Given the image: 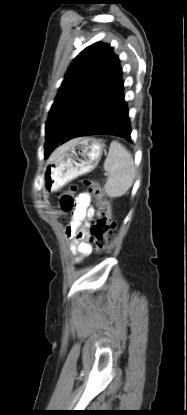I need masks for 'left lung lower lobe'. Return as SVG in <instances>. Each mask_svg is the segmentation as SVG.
Here are the masks:
<instances>
[{
	"instance_id": "1",
	"label": "left lung lower lobe",
	"mask_w": 187,
	"mask_h": 415,
	"mask_svg": "<svg viewBox=\"0 0 187 415\" xmlns=\"http://www.w3.org/2000/svg\"><path fill=\"white\" fill-rule=\"evenodd\" d=\"M90 98L97 107L89 117L69 129L61 144L80 136L112 135L131 141L128 109L124 100V82L118 56L114 53L92 86Z\"/></svg>"
}]
</instances>
